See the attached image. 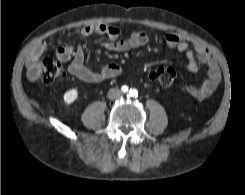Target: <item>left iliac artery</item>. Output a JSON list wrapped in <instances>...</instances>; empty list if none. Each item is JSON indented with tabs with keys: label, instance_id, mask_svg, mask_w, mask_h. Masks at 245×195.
Segmentation results:
<instances>
[{
	"label": "left iliac artery",
	"instance_id": "44dca946",
	"mask_svg": "<svg viewBox=\"0 0 245 195\" xmlns=\"http://www.w3.org/2000/svg\"><path fill=\"white\" fill-rule=\"evenodd\" d=\"M137 94H138V93H137V91H136L135 89H133V90L131 89V90H130V95H132V96H137Z\"/></svg>",
	"mask_w": 245,
	"mask_h": 195
}]
</instances>
